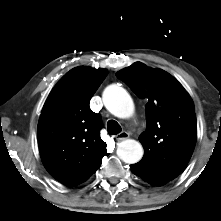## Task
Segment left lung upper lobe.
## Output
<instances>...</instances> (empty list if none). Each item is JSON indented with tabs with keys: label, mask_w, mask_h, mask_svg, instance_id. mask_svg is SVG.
I'll return each mask as SVG.
<instances>
[{
	"label": "left lung upper lobe",
	"mask_w": 221,
	"mask_h": 221,
	"mask_svg": "<svg viewBox=\"0 0 221 221\" xmlns=\"http://www.w3.org/2000/svg\"><path fill=\"white\" fill-rule=\"evenodd\" d=\"M116 76L147 100V127L139 136L145 153L131 165L132 172L151 185H164L179 175L192 156L197 134L193 101L170 74L141 62Z\"/></svg>",
	"instance_id": "1"
}]
</instances>
